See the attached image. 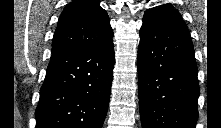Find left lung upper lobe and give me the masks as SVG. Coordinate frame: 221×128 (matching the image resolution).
<instances>
[{
	"label": "left lung upper lobe",
	"mask_w": 221,
	"mask_h": 128,
	"mask_svg": "<svg viewBox=\"0 0 221 128\" xmlns=\"http://www.w3.org/2000/svg\"><path fill=\"white\" fill-rule=\"evenodd\" d=\"M144 17H157L173 26L178 27L179 29L189 32L178 11L168 5H162L161 7L154 8L153 10H147Z\"/></svg>",
	"instance_id": "obj_1"
}]
</instances>
